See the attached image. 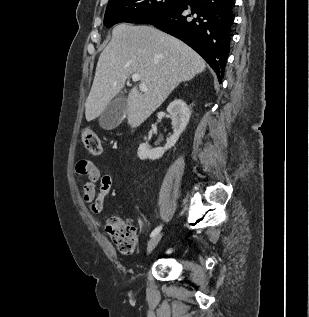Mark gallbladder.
I'll use <instances>...</instances> for the list:
<instances>
[{"instance_id":"gallbladder-1","label":"gallbladder","mask_w":309,"mask_h":317,"mask_svg":"<svg viewBox=\"0 0 309 317\" xmlns=\"http://www.w3.org/2000/svg\"><path fill=\"white\" fill-rule=\"evenodd\" d=\"M127 100L119 95L111 100L99 117V124L103 129L112 130L116 128L126 116Z\"/></svg>"}]
</instances>
